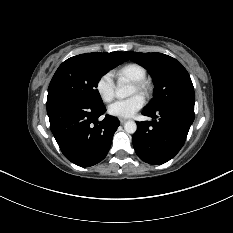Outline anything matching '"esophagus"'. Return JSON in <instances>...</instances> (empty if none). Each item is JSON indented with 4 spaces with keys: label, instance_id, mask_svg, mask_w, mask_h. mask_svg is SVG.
Wrapping results in <instances>:
<instances>
[{
    "label": "esophagus",
    "instance_id": "34e87169",
    "mask_svg": "<svg viewBox=\"0 0 233 233\" xmlns=\"http://www.w3.org/2000/svg\"><path fill=\"white\" fill-rule=\"evenodd\" d=\"M126 121H127V119L119 118V122H120L121 124H124Z\"/></svg>",
    "mask_w": 233,
    "mask_h": 233
}]
</instances>
